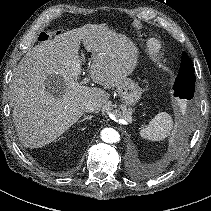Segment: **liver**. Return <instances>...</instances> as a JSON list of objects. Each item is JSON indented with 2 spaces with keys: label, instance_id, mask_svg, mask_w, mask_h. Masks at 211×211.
I'll use <instances>...</instances> for the list:
<instances>
[{
  "label": "liver",
  "instance_id": "6515ba94",
  "mask_svg": "<svg viewBox=\"0 0 211 211\" xmlns=\"http://www.w3.org/2000/svg\"><path fill=\"white\" fill-rule=\"evenodd\" d=\"M81 42L92 53L91 79L111 89L132 73L137 49L124 34L103 25L86 24L43 41L29 50L14 72L12 84L13 122L25 147L45 146L66 132L83 115L86 103L98 113L109 94L78 82L82 62ZM51 75L62 78L63 92L57 96L46 88Z\"/></svg>",
  "mask_w": 211,
  "mask_h": 211
}]
</instances>
